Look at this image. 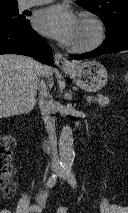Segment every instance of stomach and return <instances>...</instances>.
Returning a JSON list of instances; mask_svg holds the SVG:
<instances>
[{
    "instance_id": "0dacf381",
    "label": "stomach",
    "mask_w": 128,
    "mask_h": 213,
    "mask_svg": "<svg viewBox=\"0 0 128 213\" xmlns=\"http://www.w3.org/2000/svg\"><path fill=\"white\" fill-rule=\"evenodd\" d=\"M76 84L89 92H96L102 89L108 80L106 68L98 61H85L75 63L71 70H65Z\"/></svg>"
}]
</instances>
